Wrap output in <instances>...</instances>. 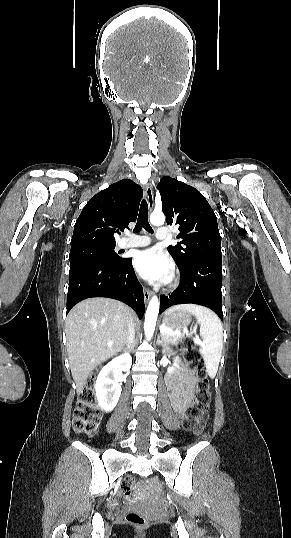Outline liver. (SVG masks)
Wrapping results in <instances>:
<instances>
[{
  "mask_svg": "<svg viewBox=\"0 0 291 538\" xmlns=\"http://www.w3.org/2000/svg\"><path fill=\"white\" fill-rule=\"evenodd\" d=\"M130 308L108 298H90L69 312L65 330L67 352L77 394L89 374L122 351L128 336Z\"/></svg>",
  "mask_w": 291,
  "mask_h": 538,
  "instance_id": "liver-1",
  "label": "liver"
}]
</instances>
